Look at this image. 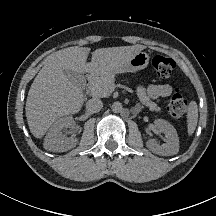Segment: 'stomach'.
Returning <instances> with one entry per match:
<instances>
[{
  "label": "stomach",
  "mask_w": 216,
  "mask_h": 216,
  "mask_svg": "<svg viewBox=\"0 0 216 216\" xmlns=\"http://www.w3.org/2000/svg\"><path fill=\"white\" fill-rule=\"evenodd\" d=\"M149 63V55L145 52H137L134 54L128 61L122 63L120 66L115 68L110 72H105L100 74L102 75H111L116 73H125V72H136L147 67Z\"/></svg>",
  "instance_id": "obj_1"
}]
</instances>
